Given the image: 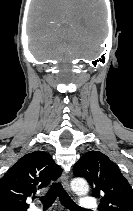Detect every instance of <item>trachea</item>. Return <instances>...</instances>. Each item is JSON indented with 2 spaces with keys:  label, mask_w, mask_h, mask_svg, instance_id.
I'll return each mask as SVG.
<instances>
[{
  "label": "trachea",
  "mask_w": 133,
  "mask_h": 211,
  "mask_svg": "<svg viewBox=\"0 0 133 211\" xmlns=\"http://www.w3.org/2000/svg\"><path fill=\"white\" fill-rule=\"evenodd\" d=\"M57 196H59L60 202L71 211H84L73 202L61 183H53L47 194L40 197L43 207L49 208L54 203Z\"/></svg>",
  "instance_id": "1"
}]
</instances>
